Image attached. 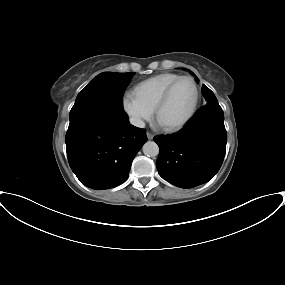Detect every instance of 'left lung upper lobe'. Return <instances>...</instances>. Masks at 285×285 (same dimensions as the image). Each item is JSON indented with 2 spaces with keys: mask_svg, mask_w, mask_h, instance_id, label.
Wrapping results in <instances>:
<instances>
[{
  "mask_svg": "<svg viewBox=\"0 0 285 285\" xmlns=\"http://www.w3.org/2000/svg\"><path fill=\"white\" fill-rule=\"evenodd\" d=\"M195 80L196 82H198V79H195ZM202 94L207 101L206 106H219L214 93L205 85L202 86Z\"/></svg>",
  "mask_w": 285,
  "mask_h": 285,
  "instance_id": "obj_1",
  "label": "left lung upper lobe"
}]
</instances>
